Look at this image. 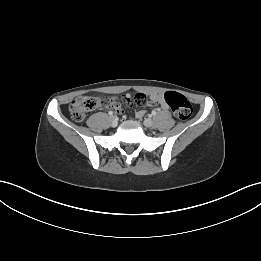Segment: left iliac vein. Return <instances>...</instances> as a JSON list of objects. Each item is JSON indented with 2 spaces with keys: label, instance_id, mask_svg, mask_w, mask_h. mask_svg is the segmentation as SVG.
I'll list each match as a JSON object with an SVG mask.
<instances>
[{
  "label": "left iliac vein",
  "instance_id": "4c4485c4",
  "mask_svg": "<svg viewBox=\"0 0 261 261\" xmlns=\"http://www.w3.org/2000/svg\"><path fill=\"white\" fill-rule=\"evenodd\" d=\"M143 123L146 127H149V128L154 125V122L151 118H146Z\"/></svg>",
  "mask_w": 261,
  "mask_h": 261
}]
</instances>
